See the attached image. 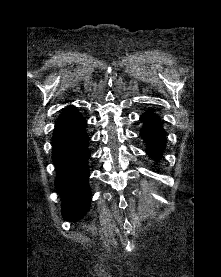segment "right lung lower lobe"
<instances>
[{"mask_svg": "<svg viewBox=\"0 0 221 277\" xmlns=\"http://www.w3.org/2000/svg\"><path fill=\"white\" fill-rule=\"evenodd\" d=\"M89 135L86 120L74 106L60 114L53 138L52 161L56 168L55 186L62 199L63 218L79 220L89 208Z\"/></svg>", "mask_w": 221, "mask_h": 277, "instance_id": "1", "label": "right lung lower lobe"}]
</instances>
